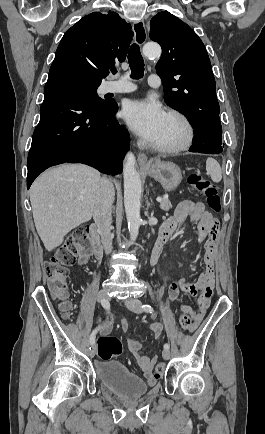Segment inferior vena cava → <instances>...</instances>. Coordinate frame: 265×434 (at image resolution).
Instances as JSON below:
<instances>
[{
    "label": "inferior vena cava",
    "mask_w": 265,
    "mask_h": 434,
    "mask_svg": "<svg viewBox=\"0 0 265 434\" xmlns=\"http://www.w3.org/2000/svg\"><path fill=\"white\" fill-rule=\"evenodd\" d=\"M114 196L115 190L113 184L109 180H106V178H101L93 208V220L98 228L106 254H110L112 250V236L110 232Z\"/></svg>",
    "instance_id": "obj_1"
}]
</instances>
